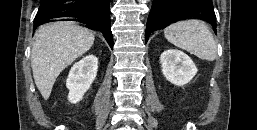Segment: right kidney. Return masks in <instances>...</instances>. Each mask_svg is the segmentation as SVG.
<instances>
[{
    "label": "right kidney",
    "instance_id": "ca27d5eb",
    "mask_svg": "<svg viewBox=\"0 0 257 130\" xmlns=\"http://www.w3.org/2000/svg\"><path fill=\"white\" fill-rule=\"evenodd\" d=\"M97 68L98 59L94 55H88L73 65L66 81L69 102L77 103L82 100L96 78Z\"/></svg>",
    "mask_w": 257,
    "mask_h": 130
}]
</instances>
